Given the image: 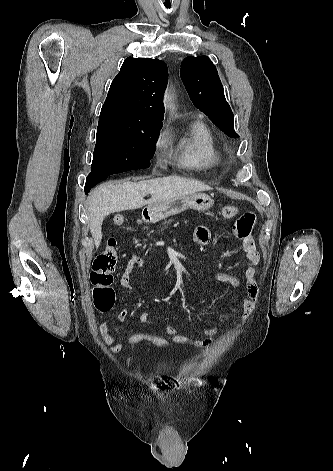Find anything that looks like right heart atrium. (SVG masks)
Segmentation results:
<instances>
[{
	"label": "right heart atrium",
	"instance_id": "d8ad5b80",
	"mask_svg": "<svg viewBox=\"0 0 333 471\" xmlns=\"http://www.w3.org/2000/svg\"><path fill=\"white\" fill-rule=\"evenodd\" d=\"M166 143H167V133H166V131L161 130L157 134V136L154 140V147H155L157 153L161 152L164 149V147L166 146Z\"/></svg>",
	"mask_w": 333,
	"mask_h": 471
}]
</instances>
